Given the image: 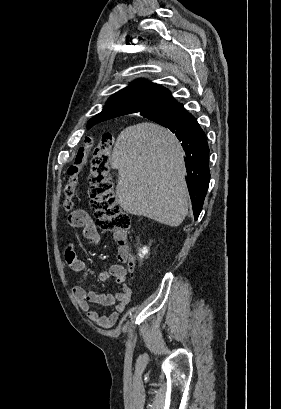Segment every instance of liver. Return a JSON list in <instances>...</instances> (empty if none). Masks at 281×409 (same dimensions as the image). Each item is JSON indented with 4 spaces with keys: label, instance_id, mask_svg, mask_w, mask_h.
Masks as SVG:
<instances>
[{
    "label": "liver",
    "instance_id": "6515ba94",
    "mask_svg": "<svg viewBox=\"0 0 281 409\" xmlns=\"http://www.w3.org/2000/svg\"><path fill=\"white\" fill-rule=\"evenodd\" d=\"M112 168H118L116 196L130 215H144L178 227L188 213L183 152L176 136L154 122L127 126L114 144Z\"/></svg>",
    "mask_w": 281,
    "mask_h": 409
}]
</instances>
